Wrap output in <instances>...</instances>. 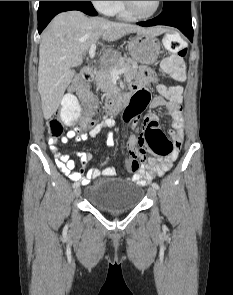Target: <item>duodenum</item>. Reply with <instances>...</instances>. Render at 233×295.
Wrapping results in <instances>:
<instances>
[{
  "label": "duodenum",
  "instance_id": "duodenum-1",
  "mask_svg": "<svg viewBox=\"0 0 233 295\" xmlns=\"http://www.w3.org/2000/svg\"><path fill=\"white\" fill-rule=\"evenodd\" d=\"M82 77L85 81H92L95 77V70L91 67L85 68ZM130 100L129 94H119L116 93L112 98H110L105 104V111L107 114H115L119 109L126 105Z\"/></svg>",
  "mask_w": 233,
  "mask_h": 295
}]
</instances>
